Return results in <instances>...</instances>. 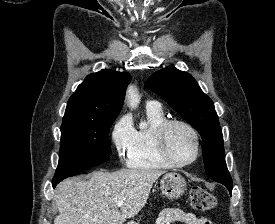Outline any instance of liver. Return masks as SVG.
Returning <instances> with one entry per match:
<instances>
[{"label":"liver","mask_w":275,"mask_h":224,"mask_svg":"<svg viewBox=\"0 0 275 224\" xmlns=\"http://www.w3.org/2000/svg\"><path fill=\"white\" fill-rule=\"evenodd\" d=\"M162 174L153 169H121L94 172L88 180L65 179L55 189L59 215L54 224H123L141 211ZM119 200L124 201L120 210Z\"/></svg>","instance_id":"6515ba94"}]
</instances>
